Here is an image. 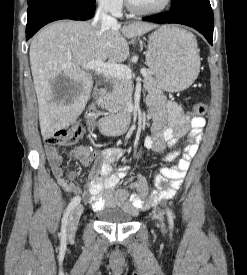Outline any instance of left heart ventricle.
<instances>
[{"mask_svg":"<svg viewBox=\"0 0 247 275\" xmlns=\"http://www.w3.org/2000/svg\"><path fill=\"white\" fill-rule=\"evenodd\" d=\"M132 3L142 9H151L159 7L164 3L165 0H131Z\"/></svg>","mask_w":247,"mask_h":275,"instance_id":"b2bd125f","label":"left heart ventricle"}]
</instances>
